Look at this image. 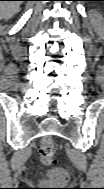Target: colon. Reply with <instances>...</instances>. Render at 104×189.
Masks as SVG:
<instances>
[{"mask_svg":"<svg viewBox=\"0 0 104 189\" xmlns=\"http://www.w3.org/2000/svg\"><path fill=\"white\" fill-rule=\"evenodd\" d=\"M56 148L50 137H45L40 147V160L44 165H50L54 162Z\"/></svg>","mask_w":104,"mask_h":189,"instance_id":"obj_1","label":"colon"}]
</instances>
